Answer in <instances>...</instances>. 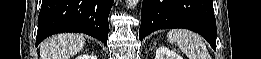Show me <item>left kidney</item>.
I'll list each match as a JSON object with an SVG mask.
<instances>
[{
	"mask_svg": "<svg viewBox=\"0 0 261 59\" xmlns=\"http://www.w3.org/2000/svg\"><path fill=\"white\" fill-rule=\"evenodd\" d=\"M155 59H183V58L176 52L164 46H161L156 50Z\"/></svg>",
	"mask_w": 261,
	"mask_h": 59,
	"instance_id": "left-kidney-1",
	"label": "left kidney"
}]
</instances>
